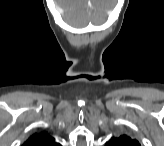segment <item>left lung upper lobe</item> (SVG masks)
<instances>
[{
    "instance_id": "1",
    "label": "left lung upper lobe",
    "mask_w": 164,
    "mask_h": 146,
    "mask_svg": "<svg viewBox=\"0 0 164 146\" xmlns=\"http://www.w3.org/2000/svg\"><path fill=\"white\" fill-rule=\"evenodd\" d=\"M106 146H139V143L127 135H121L119 137H112L106 143Z\"/></svg>"
}]
</instances>
